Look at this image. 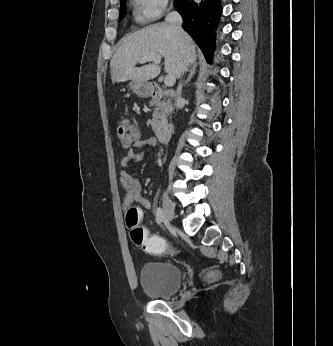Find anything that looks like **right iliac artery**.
Returning <instances> with one entry per match:
<instances>
[{"label":"right iliac artery","instance_id":"82829eb1","mask_svg":"<svg viewBox=\"0 0 333 346\" xmlns=\"http://www.w3.org/2000/svg\"><path fill=\"white\" fill-rule=\"evenodd\" d=\"M163 219H164L163 210L160 207H158L156 210V222L158 224H161Z\"/></svg>","mask_w":333,"mask_h":346}]
</instances>
